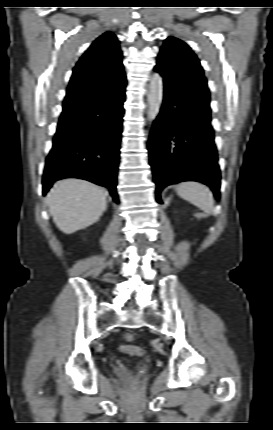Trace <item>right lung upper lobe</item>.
Wrapping results in <instances>:
<instances>
[{
	"label": "right lung upper lobe",
	"instance_id": "cb5924a9",
	"mask_svg": "<svg viewBox=\"0 0 273 430\" xmlns=\"http://www.w3.org/2000/svg\"><path fill=\"white\" fill-rule=\"evenodd\" d=\"M121 56L118 40L111 32L92 43L73 69L62 116L78 113L91 100L90 94L104 85L126 83Z\"/></svg>",
	"mask_w": 273,
	"mask_h": 430
}]
</instances>
